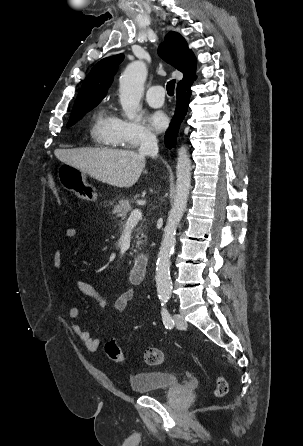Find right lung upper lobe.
I'll list each match as a JSON object with an SVG mask.
<instances>
[{"label": "right lung upper lobe", "instance_id": "cb5924a9", "mask_svg": "<svg viewBox=\"0 0 303 446\" xmlns=\"http://www.w3.org/2000/svg\"><path fill=\"white\" fill-rule=\"evenodd\" d=\"M158 52L166 62L183 73L184 77L178 83V86L195 79L196 58L192 51L189 50L185 39L179 33L169 32L165 37V41L160 44ZM123 59V54L107 57L99 61L91 69L82 84L73 110L89 105H98L106 95L113 75Z\"/></svg>", "mask_w": 303, "mask_h": 446}]
</instances>
